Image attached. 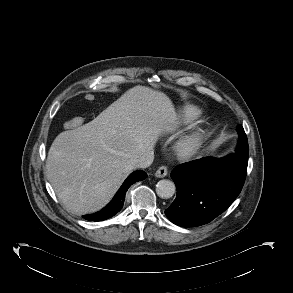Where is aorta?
I'll use <instances>...</instances> for the list:
<instances>
[{
  "instance_id": "762f6f07",
  "label": "aorta",
  "mask_w": 293,
  "mask_h": 293,
  "mask_svg": "<svg viewBox=\"0 0 293 293\" xmlns=\"http://www.w3.org/2000/svg\"><path fill=\"white\" fill-rule=\"evenodd\" d=\"M176 191L175 184L170 180H160L156 185V193L163 199L171 198Z\"/></svg>"
}]
</instances>
